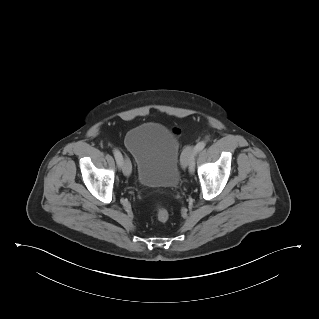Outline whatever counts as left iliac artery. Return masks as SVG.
I'll return each mask as SVG.
<instances>
[{
	"label": "left iliac artery",
	"mask_w": 319,
	"mask_h": 319,
	"mask_svg": "<svg viewBox=\"0 0 319 319\" xmlns=\"http://www.w3.org/2000/svg\"><path fill=\"white\" fill-rule=\"evenodd\" d=\"M205 146H206V143L204 142V141H201V142H199L196 146H195V148H196V153H198V152H200L201 150H203L204 148H205ZM195 153V154H196ZM194 169H195V162H194V158L190 161V164H189V171L191 172V173H193L194 172Z\"/></svg>",
	"instance_id": "left-iliac-artery-1"
}]
</instances>
